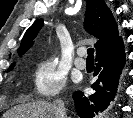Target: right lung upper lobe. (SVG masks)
<instances>
[{
    "mask_svg": "<svg viewBox=\"0 0 133 118\" xmlns=\"http://www.w3.org/2000/svg\"><path fill=\"white\" fill-rule=\"evenodd\" d=\"M42 26L43 20L38 19L28 28L18 49L19 55L24 54L32 46L33 39L37 36ZM85 29L89 34L99 39L95 44L96 53L120 38L114 17L103 0L87 1ZM12 66H14V63L10 65V67Z\"/></svg>",
    "mask_w": 133,
    "mask_h": 118,
    "instance_id": "obj_1",
    "label": "right lung upper lobe"
}]
</instances>
